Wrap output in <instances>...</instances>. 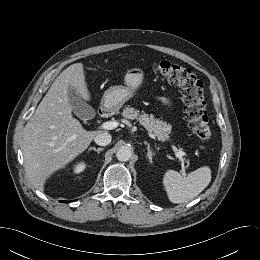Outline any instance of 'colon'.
Instances as JSON below:
<instances>
[{
  "label": "colon",
  "mask_w": 260,
  "mask_h": 260,
  "mask_svg": "<svg viewBox=\"0 0 260 260\" xmlns=\"http://www.w3.org/2000/svg\"><path fill=\"white\" fill-rule=\"evenodd\" d=\"M154 71L169 83L181 87L185 118L191 131L199 139L208 140L211 137V129L202 82L190 69L170 61L155 63Z\"/></svg>",
  "instance_id": "1"
}]
</instances>
